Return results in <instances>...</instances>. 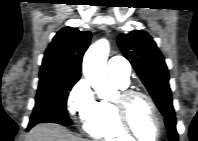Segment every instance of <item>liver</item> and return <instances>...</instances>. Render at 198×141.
Returning <instances> with one entry per match:
<instances>
[{
    "instance_id": "obj_1",
    "label": "liver",
    "mask_w": 198,
    "mask_h": 141,
    "mask_svg": "<svg viewBox=\"0 0 198 141\" xmlns=\"http://www.w3.org/2000/svg\"><path fill=\"white\" fill-rule=\"evenodd\" d=\"M27 141H87L74 136L63 126L56 124H39L30 130Z\"/></svg>"
}]
</instances>
